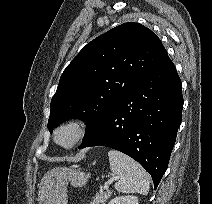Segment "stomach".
Segmentation results:
<instances>
[{
    "label": "stomach",
    "instance_id": "obj_1",
    "mask_svg": "<svg viewBox=\"0 0 212 204\" xmlns=\"http://www.w3.org/2000/svg\"><path fill=\"white\" fill-rule=\"evenodd\" d=\"M88 175L80 170L58 167L48 171L41 179L38 190L39 204H67V185L86 184Z\"/></svg>",
    "mask_w": 212,
    "mask_h": 204
}]
</instances>
